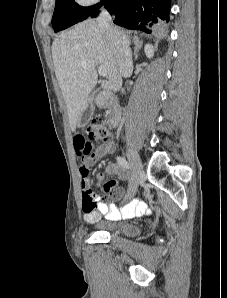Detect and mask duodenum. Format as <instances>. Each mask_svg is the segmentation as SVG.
<instances>
[{
  "label": "duodenum",
  "mask_w": 227,
  "mask_h": 298,
  "mask_svg": "<svg viewBox=\"0 0 227 298\" xmlns=\"http://www.w3.org/2000/svg\"><path fill=\"white\" fill-rule=\"evenodd\" d=\"M98 104L102 108H108L107 124L114 128L118 125L120 118V109L114 97L109 93H102L98 97Z\"/></svg>",
  "instance_id": "1"
}]
</instances>
